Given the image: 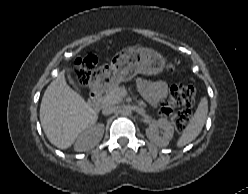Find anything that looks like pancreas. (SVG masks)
<instances>
[{
	"instance_id": "obj_1",
	"label": "pancreas",
	"mask_w": 248,
	"mask_h": 194,
	"mask_svg": "<svg viewBox=\"0 0 248 194\" xmlns=\"http://www.w3.org/2000/svg\"><path fill=\"white\" fill-rule=\"evenodd\" d=\"M124 87H113L103 97H101L102 105L118 104L122 101Z\"/></svg>"
}]
</instances>
